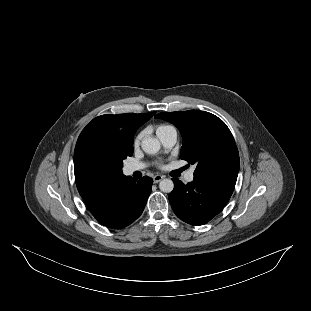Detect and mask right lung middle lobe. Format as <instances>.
<instances>
[{
  "mask_svg": "<svg viewBox=\"0 0 311 311\" xmlns=\"http://www.w3.org/2000/svg\"><path fill=\"white\" fill-rule=\"evenodd\" d=\"M74 155L94 169L123 167V160L133 155V147H126L113 136L93 130L79 136Z\"/></svg>",
  "mask_w": 311,
  "mask_h": 311,
  "instance_id": "obj_1",
  "label": "right lung middle lobe"
}]
</instances>
